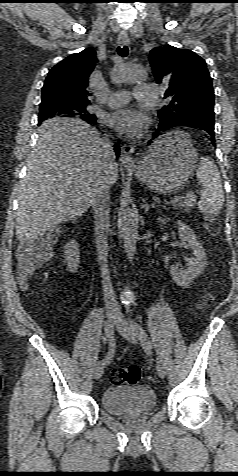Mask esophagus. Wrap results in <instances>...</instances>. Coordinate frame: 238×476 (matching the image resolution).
<instances>
[{
	"label": "esophagus",
	"instance_id": "1",
	"mask_svg": "<svg viewBox=\"0 0 238 476\" xmlns=\"http://www.w3.org/2000/svg\"><path fill=\"white\" fill-rule=\"evenodd\" d=\"M117 43L119 46H125L130 43V39L127 34L121 33L118 36ZM134 146L129 144H123L121 147L120 162L124 166H132L134 164L132 154L134 152Z\"/></svg>",
	"mask_w": 238,
	"mask_h": 476
}]
</instances>
